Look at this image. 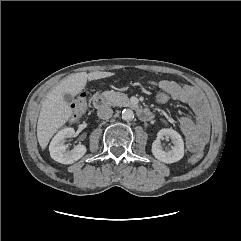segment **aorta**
<instances>
[{
    "instance_id": "1",
    "label": "aorta",
    "mask_w": 241,
    "mask_h": 241,
    "mask_svg": "<svg viewBox=\"0 0 241 241\" xmlns=\"http://www.w3.org/2000/svg\"><path fill=\"white\" fill-rule=\"evenodd\" d=\"M134 118V113L131 109H124L122 111V119L125 121H131Z\"/></svg>"
}]
</instances>
